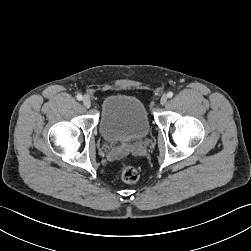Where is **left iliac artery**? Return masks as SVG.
<instances>
[{
	"label": "left iliac artery",
	"instance_id": "44dca946",
	"mask_svg": "<svg viewBox=\"0 0 251 251\" xmlns=\"http://www.w3.org/2000/svg\"><path fill=\"white\" fill-rule=\"evenodd\" d=\"M167 97H168V98L173 97V92H171V91H170V92H168V93H167Z\"/></svg>",
	"mask_w": 251,
	"mask_h": 251
}]
</instances>
